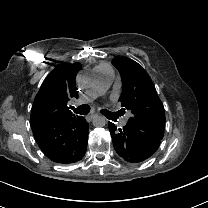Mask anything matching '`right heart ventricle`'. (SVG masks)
Masks as SVG:
<instances>
[{"label": "right heart ventricle", "instance_id": "1", "mask_svg": "<svg viewBox=\"0 0 208 208\" xmlns=\"http://www.w3.org/2000/svg\"><path fill=\"white\" fill-rule=\"evenodd\" d=\"M106 65H108V64H106V63H102V64H100L99 66H97L95 69L105 67Z\"/></svg>", "mask_w": 208, "mask_h": 208}]
</instances>
